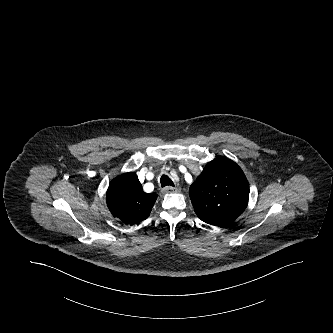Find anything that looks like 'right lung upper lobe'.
<instances>
[{"label": "right lung upper lobe", "instance_id": "1", "mask_svg": "<svg viewBox=\"0 0 333 333\" xmlns=\"http://www.w3.org/2000/svg\"><path fill=\"white\" fill-rule=\"evenodd\" d=\"M157 199L155 193H145L136 173L129 172L115 178L107 191V205L113 216L128 224L148 218Z\"/></svg>", "mask_w": 333, "mask_h": 333}]
</instances>
